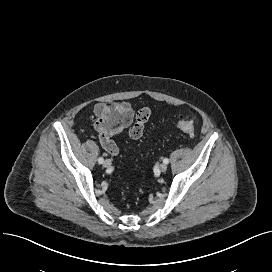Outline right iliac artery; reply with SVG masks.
Segmentation results:
<instances>
[{
  "label": "right iliac artery",
  "mask_w": 272,
  "mask_h": 272,
  "mask_svg": "<svg viewBox=\"0 0 272 272\" xmlns=\"http://www.w3.org/2000/svg\"><path fill=\"white\" fill-rule=\"evenodd\" d=\"M104 162V159L102 158V157H100L99 159H98V163L99 164H102Z\"/></svg>",
  "instance_id": "1"
}]
</instances>
